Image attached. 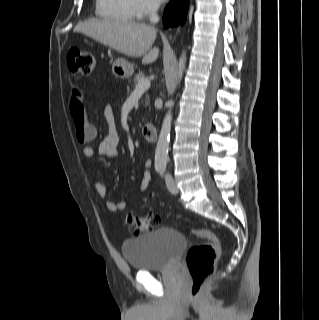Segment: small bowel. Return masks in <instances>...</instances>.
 Listing matches in <instances>:
<instances>
[{
    "mask_svg": "<svg viewBox=\"0 0 319 320\" xmlns=\"http://www.w3.org/2000/svg\"><path fill=\"white\" fill-rule=\"evenodd\" d=\"M85 94L78 88L71 91L69 96V106L72 118L74 121L84 122L85 125L93 131V137L96 136V128L88 121L85 112ZM104 115L108 126L107 133L102 138L98 145L97 151L91 146H85L83 148V155L86 159H93L96 155L113 158L118 155V149L120 146V134L115 127V116L111 106H106L104 109ZM151 166L150 161H145L143 164V175L139 191L143 192L148 189L150 176L148 169ZM95 192L100 197H105L107 194L106 186L99 180L93 182ZM127 204L125 201L114 202L112 200L105 201V208L110 212H122L126 209Z\"/></svg>",
    "mask_w": 319,
    "mask_h": 320,
    "instance_id": "obj_1",
    "label": "small bowel"
}]
</instances>
